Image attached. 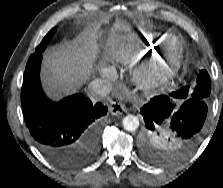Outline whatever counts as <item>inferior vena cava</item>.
I'll return each mask as SVG.
<instances>
[{
  "label": "inferior vena cava",
  "mask_w": 223,
  "mask_h": 188,
  "mask_svg": "<svg viewBox=\"0 0 223 188\" xmlns=\"http://www.w3.org/2000/svg\"><path fill=\"white\" fill-rule=\"evenodd\" d=\"M112 90V84L106 79H94L88 85V96L92 101H98Z\"/></svg>",
  "instance_id": "inferior-vena-cava-1"
}]
</instances>
